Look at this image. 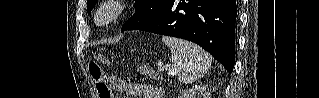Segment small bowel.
<instances>
[{"instance_id": "small-bowel-1", "label": "small bowel", "mask_w": 319, "mask_h": 98, "mask_svg": "<svg viewBox=\"0 0 319 98\" xmlns=\"http://www.w3.org/2000/svg\"><path fill=\"white\" fill-rule=\"evenodd\" d=\"M110 84L115 90L127 96L139 98H164L162 91L143 83H129L121 78L110 77Z\"/></svg>"}]
</instances>
